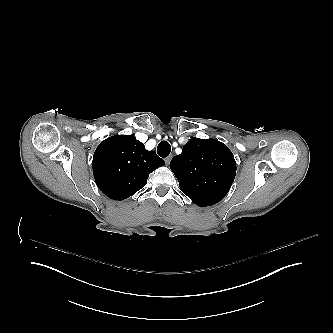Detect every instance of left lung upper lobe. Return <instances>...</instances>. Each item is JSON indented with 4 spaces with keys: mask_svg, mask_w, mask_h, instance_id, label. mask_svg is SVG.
I'll use <instances>...</instances> for the list:
<instances>
[{
    "mask_svg": "<svg viewBox=\"0 0 333 333\" xmlns=\"http://www.w3.org/2000/svg\"><path fill=\"white\" fill-rule=\"evenodd\" d=\"M181 191L201 207L211 206L228 193L235 175L232 152L215 139L191 138L170 162Z\"/></svg>",
    "mask_w": 333,
    "mask_h": 333,
    "instance_id": "5c2ea615",
    "label": "left lung upper lobe"
}]
</instances>
